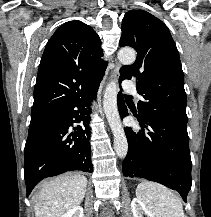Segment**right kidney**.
Instances as JSON below:
<instances>
[{"label": "right kidney", "mask_w": 211, "mask_h": 217, "mask_svg": "<svg viewBox=\"0 0 211 217\" xmlns=\"http://www.w3.org/2000/svg\"><path fill=\"white\" fill-rule=\"evenodd\" d=\"M61 217H83V208L80 206H76L67 211Z\"/></svg>", "instance_id": "1"}]
</instances>
